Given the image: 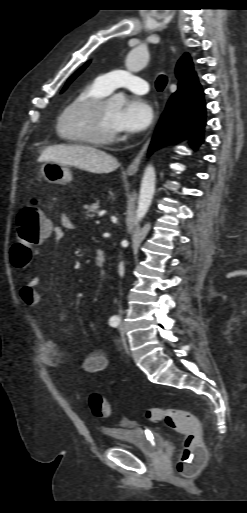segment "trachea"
<instances>
[{
  "instance_id": "1",
  "label": "trachea",
  "mask_w": 247,
  "mask_h": 513,
  "mask_svg": "<svg viewBox=\"0 0 247 513\" xmlns=\"http://www.w3.org/2000/svg\"><path fill=\"white\" fill-rule=\"evenodd\" d=\"M166 84L167 77L165 75H160L155 82L156 88L160 92L165 88Z\"/></svg>"
}]
</instances>
